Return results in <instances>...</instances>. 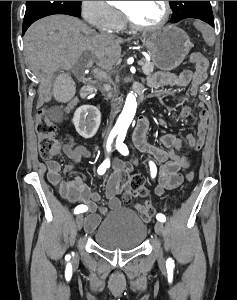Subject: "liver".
<instances>
[{
  "mask_svg": "<svg viewBox=\"0 0 237 300\" xmlns=\"http://www.w3.org/2000/svg\"><path fill=\"white\" fill-rule=\"evenodd\" d=\"M123 41L120 37H100L76 17L51 15L29 27L24 35V51L31 69L42 71L39 93L46 87L44 95L50 97L53 73L72 71L84 53H89L98 67L112 69L121 57Z\"/></svg>",
  "mask_w": 237,
  "mask_h": 300,
  "instance_id": "liver-1",
  "label": "liver"
}]
</instances>
